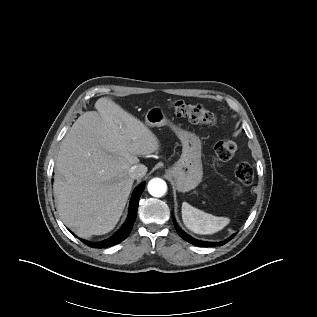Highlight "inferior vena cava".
<instances>
[{
    "label": "inferior vena cava",
    "mask_w": 317,
    "mask_h": 317,
    "mask_svg": "<svg viewBox=\"0 0 317 317\" xmlns=\"http://www.w3.org/2000/svg\"><path fill=\"white\" fill-rule=\"evenodd\" d=\"M147 167L143 164L134 165L129 170V176L132 179H139L145 176Z\"/></svg>",
    "instance_id": "inferior-vena-cava-1"
}]
</instances>
